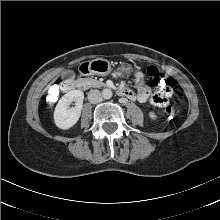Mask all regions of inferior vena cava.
<instances>
[{
	"label": "inferior vena cava",
	"instance_id": "602c4592",
	"mask_svg": "<svg viewBox=\"0 0 220 220\" xmlns=\"http://www.w3.org/2000/svg\"><path fill=\"white\" fill-rule=\"evenodd\" d=\"M88 100L92 104H96L102 101V94L99 90H90L88 93Z\"/></svg>",
	"mask_w": 220,
	"mask_h": 220
}]
</instances>
